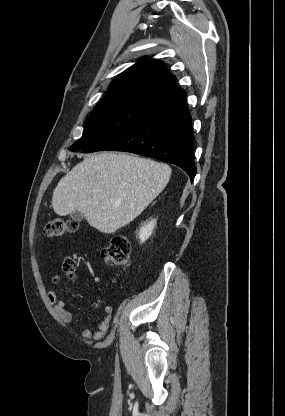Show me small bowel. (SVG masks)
<instances>
[{
    "label": "small bowel",
    "instance_id": "1",
    "mask_svg": "<svg viewBox=\"0 0 285 416\" xmlns=\"http://www.w3.org/2000/svg\"><path fill=\"white\" fill-rule=\"evenodd\" d=\"M47 297L53 307L55 315L60 320V322L67 326L70 325L73 321V316L71 312L66 308L65 302L57 296L54 289L48 291ZM103 312L104 316L99 322L95 332H92L88 328H84L82 330V337L84 339L99 341L105 337L110 326L113 307L111 305H106Z\"/></svg>",
    "mask_w": 285,
    "mask_h": 416
}]
</instances>
